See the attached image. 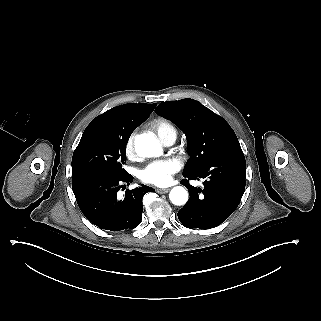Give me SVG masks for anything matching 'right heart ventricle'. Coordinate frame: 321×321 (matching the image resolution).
Masks as SVG:
<instances>
[{"mask_svg": "<svg viewBox=\"0 0 321 321\" xmlns=\"http://www.w3.org/2000/svg\"><path fill=\"white\" fill-rule=\"evenodd\" d=\"M150 125L157 132L161 140L170 134L177 136V128L173 122L164 117H153L150 120Z\"/></svg>", "mask_w": 321, "mask_h": 321, "instance_id": "obj_1", "label": "right heart ventricle"}]
</instances>
